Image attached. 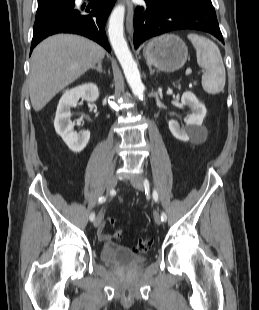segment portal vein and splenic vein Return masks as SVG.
<instances>
[{
    "label": "portal vein and splenic vein",
    "instance_id": "18ae733b",
    "mask_svg": "<svg viewBox=\"0 0 259 310\" xmlns=\"http://www.w3.org/2000/svg\"><path fill=\"white\" fill-rule=\"evenodd\" d=\"M185 74H186V75L192 74V70H191L190 68H187Z\"/></svg>",
    "mask_w": 259,
    "mask_h": 310
}]
</instances>
